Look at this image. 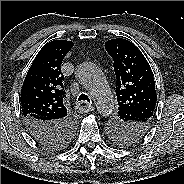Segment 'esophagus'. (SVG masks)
Returning a JSON list of instances; mask_svg holds the SVG:
<instances>
[{
    "instance_id": "obj_1",
    "label": "esophagus",
    "mask_w": 184,
    "mask_h": 184,
    "mask_svg": "<svg viewBox=\"0 0 184 184\" xmlns=\"http://www.w3.org/2000/svg\"><path fill=\"white\" fill-rule=\"evenodd\" d=\"M76 108L78 109V111L82 112V113H87L90 111L94 110V107L91 104H88L86 102H78L76 103Z\"/></svg>"
}]
</instances>
